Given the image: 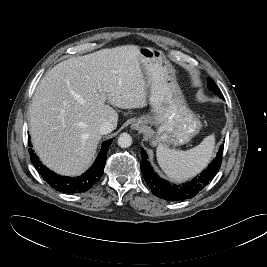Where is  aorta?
I'll return each mask as SVG.
<instances>
[{
	"mask_svg": "<svg viewBox=\"0 0 267 267\" xmlns=\"http://www.w3.org/2000/svg\"><path fill=\"white\" fill-rule=\"evenodd\" d=\"M132 144V137L128 133H122L118 137V145L122 148H127Z\"/></svg>",
	"mask_w": 267,
	"mask_h": 267,
	"instance_id": "obj_1",
	"label": "aorta"
}]
</instances>
